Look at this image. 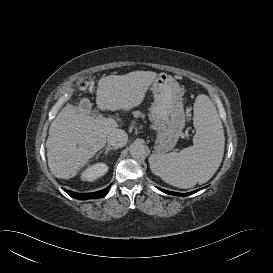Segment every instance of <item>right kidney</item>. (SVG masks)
Masks as SVG:
<instances>
[{"label":"right kidney","mask_w":273,"mask_h":273,"mask_svg":"<svg viewBox=\"0 0 273 273\" xmlns=\"http://www.w3.org/2000/svg\"><path fill=\"white\" fill-rule=\"evenodd\" d=\"M108 171V167L105 163H97L88 167L81 175L83 181H94L99 177H102Z\"/></svg>","instance_id":"right-kidney-1"}]
</instances>
